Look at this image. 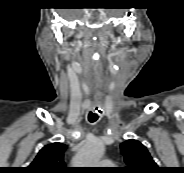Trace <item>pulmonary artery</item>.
Here are the masks:
<instances>
[{
    "label": "pulmonary artery",
    "instance_id": "pulmonary-artery-1",
    "mask_svg": "<svg viewBox=\"0 0 184 173\" xmlns=\"http://www.w3.org/2000/svg\"><path fill=\"white\" fill-rule=\"evenodd\" d=\"M100 164L103 166H111L113 162L110 160H103Z\"/></svg>",
    "mask_w": 184,
    "mask_h": 173
}]
</instances>
